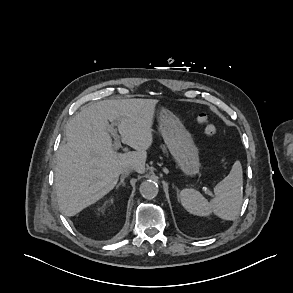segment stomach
<instances>
[{"label":"stomach","instance_id":"obj_1","mask_svg":"<svg viewBox=\"0 0 293 293\" xmlns=\"http://www.w3.org/2000/svg\"><path fill=\"white\" fill-rule=\"evenodd\" d=\"M159 128L181 172L186 176L198 174L201 167L198 149L180 120L172 112L163 109L159 115Z\"/></svg>","mask_w":293,"mask_h":293}]
</instances>
